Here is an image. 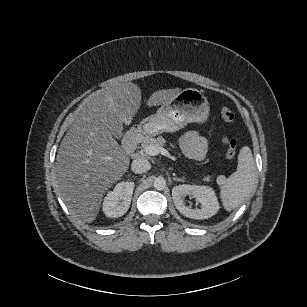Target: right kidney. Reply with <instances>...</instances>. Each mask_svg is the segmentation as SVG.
<instances>
[{
  "label": "right kidney",
  "mask_w": 307,
  "mask_h": 307,
  "mask_svg": "<svg viewBox=\"0 0 307 307\" xmlns=\"http://www.w3.org/2000/svg\"><path fill=\"white\" fill-rule=\"evenodd\" d=\"M134 182H120L112 192H108L103 202V212L108 218L123 216L129 209Z\"/></svg>",
  "instance_id": "right-kidney-1"
}]
</instances>
